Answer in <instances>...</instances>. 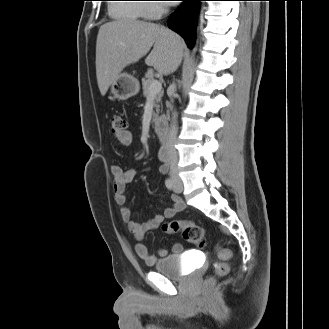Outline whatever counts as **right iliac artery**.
<instances>
[{
  "label": "right iliac artery",
  "instance_id": "obj_1",
  "mask_svg": "<svg viewBox=\"0 0 329 329\" xmlns=\"http://www.w3.org/2000/svg\"><path fill=\"white\" fill-rule=\"evenodd\" d=\"M165 185L169 190H171L174 186V182L171 178H168L165 180Z\"/></svg>",
  "mask_w": 329,
  "mask_h": 329
}]
</instances>
